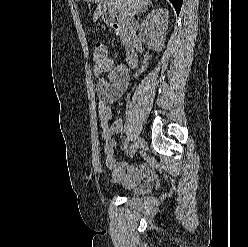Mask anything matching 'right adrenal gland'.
<instances>
[{"instance_id": "right-adrenal-gland-1", "label": "right adrenal gland", "mask_w": 248, "mask_h": 247, "mask_svg": "<svg viewBox=\"0 0 248 247\" xmlns=\"http://www.w3.org/2000/svg\"><path fill=\"white\" fill-rule=\"evenodd\" d=\"M148 6H150V5H148ZM148 6L144 7V9H142L141 11H139V14H141V13L147 11V10H148Z\"/></svg>"}]
</instances>
